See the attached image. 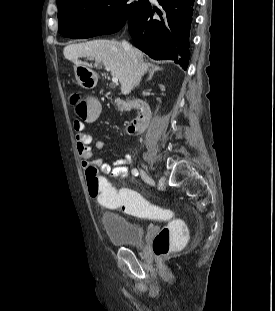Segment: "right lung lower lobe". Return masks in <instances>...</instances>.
<instances>
[{
  "label": "right lung lower lobe",
  "mask_w": 275,
  "mask_h": 311,
  "mask_svg": "<svg viewBox=\"0 0 275 311\" xmlns=\"http://www.w3.org/2000/svg\"><path fill=\"white\" fill-rule=\"evenodd\" d=\"M163 13L148 2L127 21L134 45L151 58L170 59L186 70L194 0H158ZM157 13V15L154 14ZM94 32L79 38L95 36Z\"/></svg>",
  "instance_id": "98d812e1"
}]
</instances>
